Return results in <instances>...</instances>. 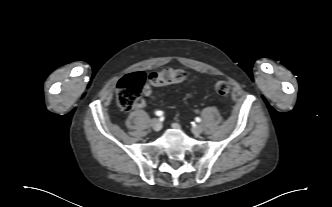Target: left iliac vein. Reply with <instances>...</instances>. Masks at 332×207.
<instances>
[{"label":"left iliac vein","mask_w":332,"mask_h":207,"mask_svg":"<svg viewBox=\"0 0 332 207\" xmlns=\"http://www.w3.org/2000/svg\"><path fill=\"white\" fill-rule=\"evenodd\" d=\"M192 132L195 135H199L203 132V127L201 125H196V126L192 127Z\"/></svg>","instance_id":"4c4485c4"}]
</instances>
